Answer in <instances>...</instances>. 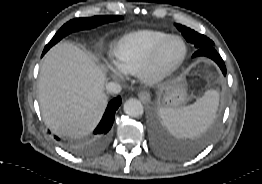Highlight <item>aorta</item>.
Segmentation results:
<instances>
[{
	"label": "aorta",
	"instance_id": "aorta-1",
	"mask_svg": "<svg viewBox=\"0 0 262 184\" xmlns=\"http://www.w3.org/2000/svg\"><path fill=\"white\" fill-rule=\"evenodd\" d=\"M124 112L134 118L141 117L144 112L142 103L136 98H130L124 103Z\"/></svg>",
	"mask_w": 262,
	"mask_h": 184
}]
</instances>
